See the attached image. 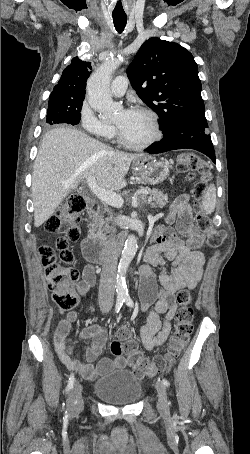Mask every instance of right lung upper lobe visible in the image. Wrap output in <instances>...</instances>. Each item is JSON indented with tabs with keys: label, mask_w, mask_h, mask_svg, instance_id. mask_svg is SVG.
I'll use <instances>...</instances> for the list:
<instances>
[{
	"label": "right lung upper lobe",
	"mask_w": 250,
	"mask_h": 454,
	"mask_svg": "<svg viewBox=\"0 0 250 454\" xmlns=\"http://www.w3.org/2000/svg\"><path fill=\"white\" fill-rule=\"evenodd\" d=\"M91 62H85L78 57L71 60L58 84L54 87L49 98L58 97L70 100L84 98L88 76L91 73Z\"/></svg>",
	"instance_id": "right-lung-upper-lobe-1"
}]
</instances>
